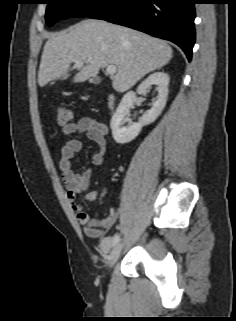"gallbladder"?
<instances>
[{
  "mask_svg": "<svg viewBox=\"0 0 236 321\" xmlns=\"http://www.w3.org/2000/svg\"><path fill=\"white\" fill-rule=\"evenodd\" d=\"M98 82V79L97 78H94V83H97Z\"/></svg>",
  "mask_w": 236,
  "mask_h": 321,
  "instance_id": "obj_1",
  "label": "gallbladder"
}]
</instances>
